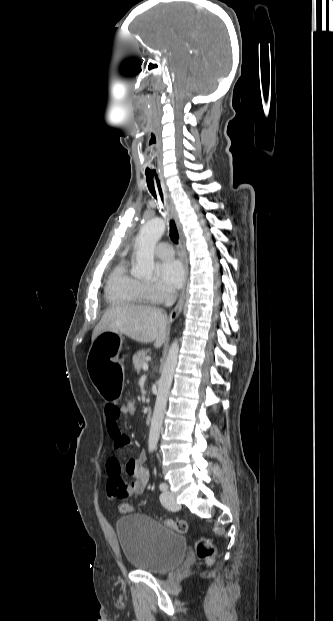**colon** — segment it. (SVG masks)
<instances>
[{"instance_id":"5ec220e1","label":"colon","mask_w":333,"mask_h":621,"mask_svg":"<svg viewBox=\"0 0 333 621\" xmlns=\"http://www.w3.org/2000/svg\"><path fill=\"white\" fill-rule=\"evenodd\" d=\"M120 407L122 408L123 414L127 416H134L137 412V402L130 395L120 400ZM118 509L123 514L132 511L131 505L124 501L119 504ZM167 525L179 533H185L188 530V525L183 520H168ZM196 552L198 557L205 560L207 563L211 564L214 561L215 548L209 540H199L196 546Z\"/></svg>"}]
</instances>
